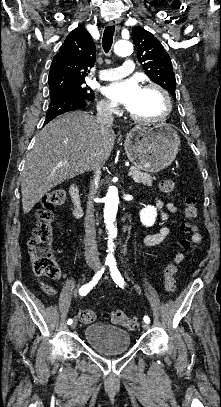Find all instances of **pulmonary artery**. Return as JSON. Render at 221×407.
<instances>
[{
  "label": "pulmonary artery",
  "mask_w": 221,
  "mask_h": 407,
  "mask_svg": "<svg viewBox=\"0 0 221 407\" xmlns=\"http://www.w3.org/2000/svg\"><path fill=\"white\" fill-rule=\"evenodd\" d=\"M134 69L135 65L133 59L131 57H125L121 66L102 70L99 74V79L107 81L119 79L132 73Z\"/></svg>",
  "instance_id": "e3ab8cb5"
}]
</instances>
